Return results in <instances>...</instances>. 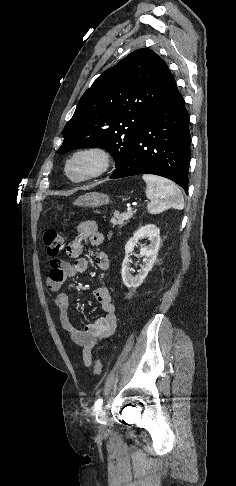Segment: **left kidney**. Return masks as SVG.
<instances>
[{"label": "left kidney", "instance_id": "1", "mask_svg": "<svg viewBox=\"0 0 236 486\" xmlns=\"http://www.w3.org/2000/svg\"><path fill=\"white\" fill-rule=\"evenodd\" d=\"M144 236L149 238L150 244L141 249L140 255L143 257V265H141V269L138 270V274L133 276L131 274V260L129 259V254L133 251L139 239ZM159 248L160 230L155 225H145L134 233L133 237H131L125 245V258L122 263L121 275L126 287L137 288L142 284L156 261Z\"/></svg>", "mask_w": 236, "mask_h": 486}]
</instances>
